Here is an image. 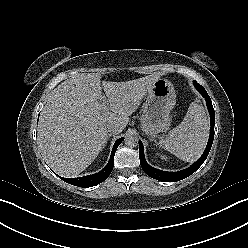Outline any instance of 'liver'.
<instances>
[{"label": "liver", "instance_id": "liver-1", "mask_svg": "<svg viewBox=\"0 0 248 248\" xmlns=\"http://www.w3.org/2000/svg\"><path fill=\"white\" fill-rule=\"evenodd\" d=\"M161 75L159 72L126 82L101 84L100 75L79 74L58 85L51 92L38 125L37 140L46 163L61 176L79 175L107 143V125L123 130ZM102 89L110 103L107 109Z\"/></svg>", "mask_w": 248, "mask_h": 248}]
</instances>
